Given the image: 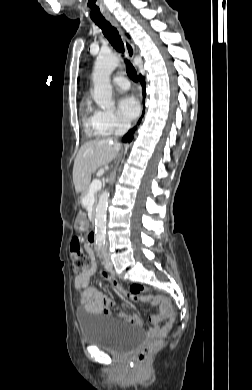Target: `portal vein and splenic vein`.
<instances>
[{
  "label": "portal vein and splenic vein",
  "instance_id": "obj_1",
  "mask_svg": "<svg viewBox=\"0 0 252 390\" xmlns=\"http://www.w3.org/2000/svg\"><path fill=\"white\" fill-rule=\"evenodd\" d=\"M99 189H101V181L98 180V179L93 180V182L91 183V185H90V187H89V191H88L87 196L83 199V203H84L85 205H90V204H92L93 199H94V194H95Z\"/></svg>",
  "mask_w": 252,
  "mask_h": 390
}]
</instances>
